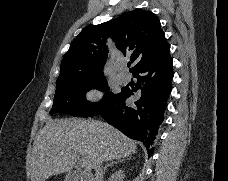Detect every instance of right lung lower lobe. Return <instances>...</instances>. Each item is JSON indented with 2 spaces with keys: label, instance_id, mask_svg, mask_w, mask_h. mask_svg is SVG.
Wrapping results in <instances>:
<instances>
[{
  "label": "right lung lower lobe",
  "instance_id": "98d812e1",
  "mask_svg": "<svg viewBox=\"0 0 228 181\" xmlns=\"http://www.w3.org/2000/svg\"><path fill=\"white\" fill-rule=\"evenodd\" d=\"M169 49L170 46L136 67L133 74L137 83L123 87L118 99L99 114L129 138L143 142L146 148L154 143L171 92L174 74ZM131 96L134 101L126 103ZM153 150L147 149L150 156Z\"/></svg>",
  "mask_w": 228,
  "mask_h": 181
}]
</instances>
